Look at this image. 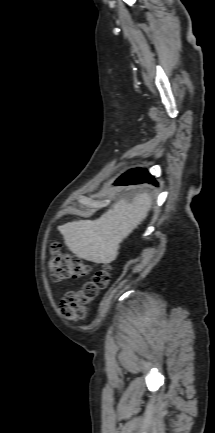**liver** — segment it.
I'll list each match as a JSON object with an SVG mask.
<instances>
[{
	"label": "liver",
	"instance_id": "6515ba94",
	"mask_svg": "<svg viewBox=\"0 0 215 433\" xmlns=\"http://www.w3.org/2000/svg\"><path fill=\"white\" fill-rule=\"evenodd\" d=\"M153 204L148 193L137 194L132 203H115L97 220H79L58 227L66 246L79 258L109 264L118 256L120 243L147 217Z\"/></svg>",
	"mask_w": 215,
	"mask_h": 433
}]
</instances>
